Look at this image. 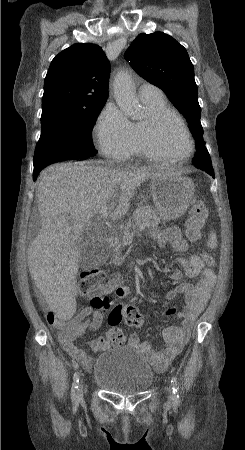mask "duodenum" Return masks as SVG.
I'll use <instances>...</instances> for the list:
<instances>
[{
    "label": "duodenum",
    "mask_w": 245,
    "mask_h": 450,
    "mask_svg": "<svg viewBox=\"0 0 245 450\" xmlns=\"http://www.w3.org/2000/svg\"><path fill=\"white\" fill-rule=\"evenodd\" d=\"M107 244L112 251H116L120 247V241L115 237H109L107 239Z\"/></svg>",
    "instance_id": "1"
}]
</instances>
